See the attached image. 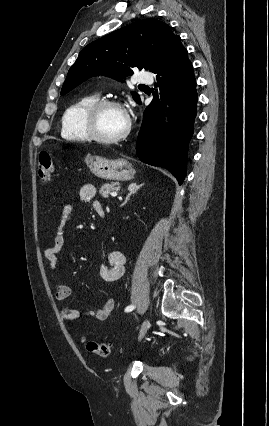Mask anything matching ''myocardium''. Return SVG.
<instances>
[{"label":"myocardium","mask_w":269,"mask_h":426,"mask_svg":"<svg viewBox=\"0 0 269 426\" xmlns=\"http://www.w3.org/2000/svg\"><path fill=\"white\" fill-rule=\"evenodd\" d=\"M105 107H116L125 112L123 106L115 100L106 99V98L98 99L94 103H92L85 111L84 127L91 140H94L102 144H117L128 137L131 131V121L125 112L127 123L123 132L120 135L113 138L102 137L97 132L96 121L100 111Z\"/></svg>","instance_id":"obj_1"}]
</instances>
